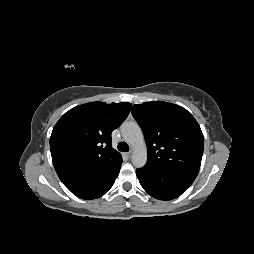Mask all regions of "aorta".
I'll return each instance as SVG.
<instances>
[{
	"label": "aorta",
	"mask_w": 254,
	"mask_h": 254,
	"mask_svg": "<svg viewBox=\"0 0 254 254\" xmlns=\"http://www.w3.org/2000/svg\"><path fill=\"white\" fill-rule=\"evenodd\" d=\"M122 136L133 149L132 163L141 168L147 162V150L141 128L136 122H124L121 126Z\"/></svg>",
	"instance_id": "1"
}]
</instances>
